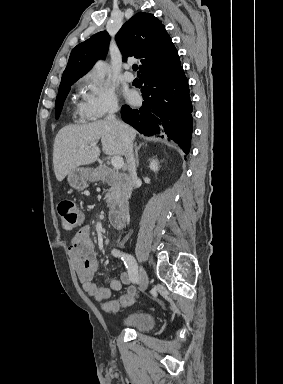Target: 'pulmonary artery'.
<instances>
[{"label":"pulmonary artery","mask_w":283,"mask_h":384,"mask_svg":"<svg viewBox=\"0 0 283 384\" xmlns=\"http://www.w3.org/2000/svg\"><path fill=\"white\" fill-rule=\"evenodd\" d=\"M131 63H127V64H125V66H124V72H123V77H124V79L127 81V82H132V81H134V79H135V76H134V74L129 70L130 68H131Z\"/></svg>","instance_id":"obj_1"}]
</instances>
